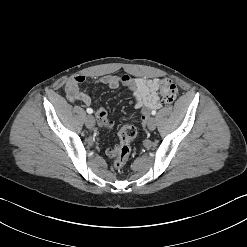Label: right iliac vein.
I'll list each match as a JSON object with an SVG mask.
<instances>
[{
  "label": "right iliac vein",
  "mask_w": 247,
  "mask_h": 247,
  "mask_svg": "<svg viewBox=\"0 0 247 247\" xmlns=\"http://www.w3.org/2000/svg\"><path fill=\"white\" fill-rule=\"evenodd\" d=\"M85 123H86V126H87L89 129H92V128L94 127V125H95V119H94V117H93L92 115H88V116L86 117Z\"/></svg>",
  "instance_id": "right-iliac-vein-1"
}]
</instances>
